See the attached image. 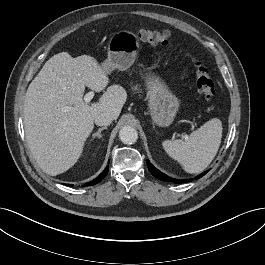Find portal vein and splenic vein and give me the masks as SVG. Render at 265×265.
I'll return each mask as SVG.
<instances>
[{"label": "portal vein and splenic vein", "mask_w": 265, "mask_h": 265, "mask_svg": "<svg viewBox=\"0 0 265 265\" xmlns=\"http://www.w3.org/2000/svg\"><path fill=\"white\" fill-rule=\"evenodd\" d=\"M93 97H94V92H93V91L88 92V93L84 96V102H85V103H89V102L92 100ZM71 109H72V107H66V108H65V111H69V110H71Z\"/></svg>", "instance_id": "portal-vein-and-splenic-vein-1"}]
</instances>
